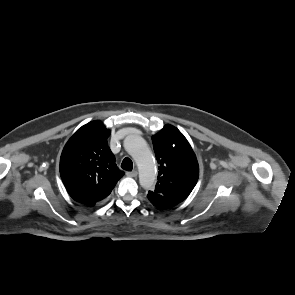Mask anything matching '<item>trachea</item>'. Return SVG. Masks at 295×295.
Returning <instances> with one entry per match:
<instances>
[{"instance_id": "1", "label": "trachea", "mask_w": 295, "mask_h": 295, "mask_svg": "<svg viewBox=\"0 0 295 295\" xmlns=\"http://www.w3.org/2000/svg\"><path fill=\"white\" fill-rule=\"evenodd\" d=\"M121 168L126 170V171H132L133 169V163L132 160L128 157L124 158L122 163H121Z\"/></svg>"}]
</instances>
